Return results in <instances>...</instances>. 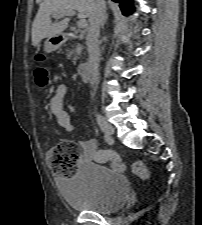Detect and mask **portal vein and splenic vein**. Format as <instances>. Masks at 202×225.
I'll use <instances>...</instances> for the list:
<instances>
[{
    "label": "portal vein and splenic vein",
    "mask_w": 202,
    "mask_h": 225,
    "mask_svg": "<svg viewBox=\"0 0 202 225\" xmlns=\"http://www.w3.org/2000/svg\"><path fill=\"white\" fill-rule=\"evenodd\" d=\"M75 15V11H68L66 13H61V14H54L53 17L55 19H59V18H62L64 16H73ZM77 26L78 28L80 29H83L87 26V20L86 19H80L78 22H77Z\"/></svg>",
    "instance_id": "obj_1"
}]
</instances>
